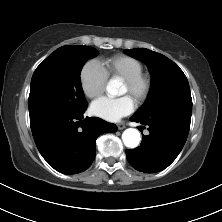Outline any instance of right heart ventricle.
I'll return each mask as SVG.
<instances>
[{
    "label": "right heart ventricle",
    "mask_w": 222,
    "mask_h": 222,
    "mask_svg": "<svg viewBox=\"0 0 222 222\" xmlns=\"http://www.w3.org/2000/svg\"><path fill=\"white\" fill-rule=\"evenodd\" d=\"M99 64L107 77L130 79L143 71L142 63L131 56L117 54L100 60Z\"/></svg>",
    "instance_id": "right-heart-ventricle-1"
}]
</instances>
